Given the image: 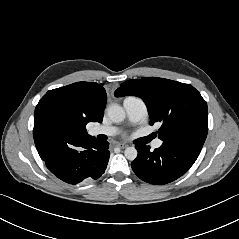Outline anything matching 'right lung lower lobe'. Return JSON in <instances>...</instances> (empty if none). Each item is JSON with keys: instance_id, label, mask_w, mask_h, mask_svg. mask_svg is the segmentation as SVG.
Listing matches in <instances>:
<instances>
[{"instance_id": "right-lung-lower-lobe-1", "label": "right lung lower lobe", "mask_w": 239, "mask_h": 239, "mask_svg": "<svg viewBox=\"0 0 239 239\" xmlns=\"http://www.w3.org/2000/svg\"><path fill=\"white\" fill-rule=\"evenodd\" d=\"M109 143L95 137H72L58 141L45 156L47 168L69 184L98 179L109 160Z\"/></svg>"}]
</instances>
